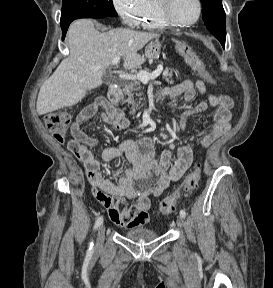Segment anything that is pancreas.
Returning a JSON list of instances; mask_svg holds the SVG:
<instances>
[{
  "mask_svg": "<svg viewBox=\"0 0 273 288\" xmlns=\"http://www.w3.org/2000/svg\"><path fill=\"white\" fill-rule=\"evenodd\" d=\"M144 71L149 72V69L145 68ZM172 76H173V73L171 69L166 68L163 71V79L167 83H170V84L173 83ZM141 90H142V86L139 81L133 80L131 82L124 84L123 93L126 99H124L123 97L122 102L123 103L127 102L128 104H131L133 107V112L139 109V105H140V101L136 102L134 100V95L139 96V97L142 96L143 93L141 92Z\"/></svg>",
  "mask_w": 273,
  "mask_h": 288,
  "instance_id": "1",
  "label": "pancreas"
}]
</instances>
